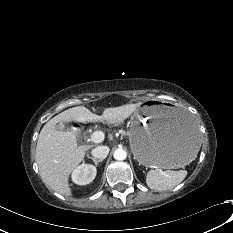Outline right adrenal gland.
<instances>
[{
  "label": "right adrenal gland",
  "mask_w": 233,
  "mask_h": 233,
  "mask_svg": "<svg viewBox=\"0 0 233 233\" xmlns=\"http://www.w3.org/2000/svg\"><path fill=\"white\" fill-rule=\"evenodd\" d=\"M88 158L91 159L95 163L96 166H97L98 163L103 161L102 159H96V158H93V157H90V156H88Z\"/></svg>",
  "instance_id": "obj_1"
}]
</instances>
